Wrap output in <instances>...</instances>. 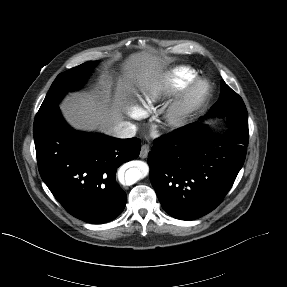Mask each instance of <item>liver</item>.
Wrapping results in <instances>:
<instances>
[{
  "mask_svg": "<svg viewBox=\"0 0 287 287\" xmlns=\"http://www.w3.org/2000/svg\"><path fill=\"white\" fill-rule=\"evenodd\" d=\"M125 80H119L117 93L111 103L112 82L104 77L100 90L91 93H74L66 97L60 109L66 121L82 131L98 130L110 134L111 129L123 120L121 111L122 92L132 82L147 84L162 78V63L159 57L140 52L130 55L124 64Z\"/></svg>",
  "mask_w": 287,
  "mask_h": 287,
  "instance_id": "6515ba94",
  "label": "liver"
}]
</instances>
